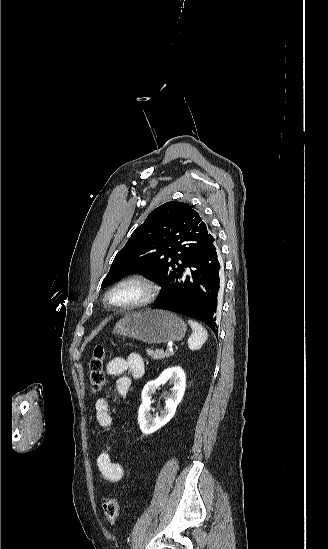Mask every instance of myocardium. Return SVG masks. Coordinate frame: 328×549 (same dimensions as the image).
Segmentation results:
<instances>
[{
  "label": "myocardium",
  "instance_id": "obj_1",
  "mask_svg": "<svg viewBox=\"0 0 328 549\" xmlns=\"http://www.w3.org/2000/svg\"><path fill=\"white\" fill-rule=\"evenodd\" d=\"M130 284L138 285L140 294L129 300H116V294ZM158 292L159 285L153 278L140 272H131L116 280L106 289L102 297V305L106 310L114 313L144 309L153 303Z\"/></svg>",
  "mask_w": 328,
  "mask_h": 549
}]
</instances>
